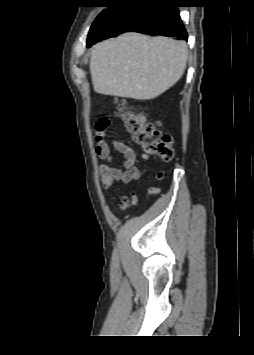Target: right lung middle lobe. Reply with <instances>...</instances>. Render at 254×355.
Segmentation results:
<instances>
[{"label": "right lung middle lobe", "mask_w": 254, "mask_h": 355, "mask_svg": "<svg viewBox=\"0 0 254 355\" xmlns=\"http://www.w3.org/2000/svg\"><path fill=\"white\" fill-rule=\"evenodd\" d=\"M118 6L119 4H110L108 5L107 10H104L100 13V15L96 18V20L94 21V23L90 28L88 38H87V43L91 42L97 37L104 24L107 22V20L110 18V16Z\"/></svg>", "instance_id": "right-lung-middle-lobe-1"}]
</instances>
